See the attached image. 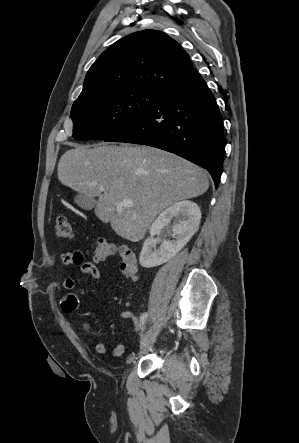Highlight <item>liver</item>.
Wrapping results in <instances>:
<instances>
[{
	"mask_svg": "<svg viewBox=\"0 0 299 443\" xmlns=\"http://www.w3.org/2000/svg\"><path fill=\"white\" fill-rule=\"evenodd\" d=\"M57 171L63 185L85 196H98L95 215L133 242L144 237L162 210L209 188L205 170L147 146L76 145L61 156ZM123 199L133 200V206L119 209Z\"/></svg>",
	"mask_w": 299,
	"mask_h": 443,
	"instance_id": "1",
	"label": "liver"
}]
</instances>
